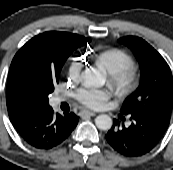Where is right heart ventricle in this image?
<instances>
[{"label":"right heart ventricle","instance_id":"obj_1","mask_svg":"<svg viewBox=\"0 0 173 170\" xmlns=\"http://www.w3.org/2000/svg\"><path fill=\"white\" fill-rule=\"evenodd\" d=\"M124 67H125V62H124V60H119V61L117 62V65H116V70H117V71H120V70L124 69Z\"/></svg>","mask_w":173,"mask_h":170}]
</instances>
